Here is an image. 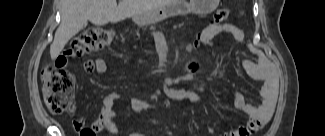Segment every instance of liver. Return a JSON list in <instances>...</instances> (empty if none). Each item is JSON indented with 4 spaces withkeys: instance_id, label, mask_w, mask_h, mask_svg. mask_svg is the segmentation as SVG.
Instances as JSON below:
<instances>
[{
    "instance_id": "obj_1",
    "label": "liver",
    "mask_w": 325,
    "mask_h": 136,
    "mask_svg": "<svg viewBox=\"0 0 325 136\" xmlns=\"http://www.w3.org/2000/svg\"><path fill=\"white\" fill-rule=\"evenodd\" d=\"M172 0H62L61 23L50 46L55 60L68 41L86 27L116 23L128 17L140 16L172 4Z\"/></svg>"
}]
</instances>
